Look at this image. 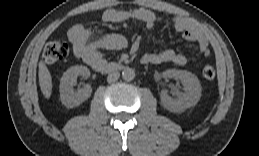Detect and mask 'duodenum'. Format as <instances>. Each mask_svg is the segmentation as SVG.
<instances>
[{"mask_svg":"<svg viewBox=\"0 0 259 156\" xmlns=\"http://www.w3.org/2000/svg\"><path fill=\"white\" fill-rule=\"evenodd\" d=\"M95 69L99 72L110 73L124 69V65L120 63H99L95 66Z\"/></svg>","mask_w":259,"mask_h":156,"instance_id":"duodenum-1","label":"duodenum"}]
</instances>
